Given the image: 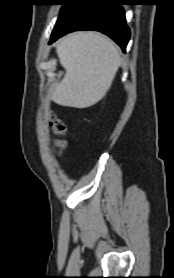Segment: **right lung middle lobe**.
I'll list each match as a JSON object with an SVG mask.
<instances>
[{"label": "right lung middle lobe", "mask_w": 174, "mask_h": 278, "mask_svg": "<svg viewBox=\"0 0 174 278\" xmlns=\"http://www.w3.org/2000/svg\"><path fill=\"white\" fill-rule=\"evenodd\" d=\"M59 2L63 7L55 27L59 26L65 20L69 12L79 3L78 0H59Z\"/></svg>", "instance_id": "obj_1"}]
</instances>
